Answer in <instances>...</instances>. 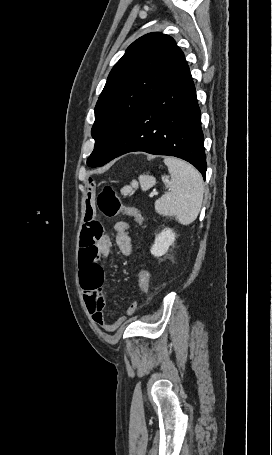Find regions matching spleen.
Here are the masks:
<instances>
[{
    "mask_svg": "<svg viewBox=\"0 0 272 455\" xmlns=\"http://www.w3.org/2000/svg\"><path fill=\"white\" fill-rule=\"evenodd\" d=\"M164 164L170 176L163 175L162 180L170 192L155 201V210L160 215L175 217L179 223L188 225L196 220L201 210L204 195L202 176L192 165L177 158L165 157ZM138 184L146 191L156 184V179L149 174L140 175L139 183L133 180L121 189V194L124 197L133 194Z\"/></svg>",
    "mask_w": 272,
    "mask_h": 455,
    "instance_id": "1",
    "label": "spleen"
}]
</instances>
